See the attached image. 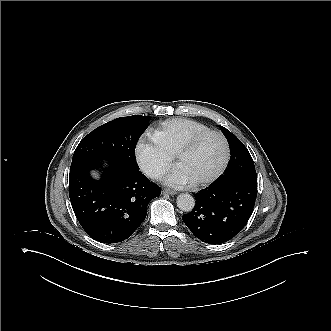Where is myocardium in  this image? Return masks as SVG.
I'll return each mask as SVG.
<instances>
[{
  "label": "myocardium",
  "mask_w": 331,
  "mask_h": 331,
  "mask_svg": "<svg viewBox=\"0 0 331 331\" xmlns=\"http://www.w3.org/2000/svg\"><path fill=\"white\" fill-rule=\"evenodd\" d=\"M217 136L221 142H222V146H223V159L222 162L220 164V166L218 167V169L209 177L207 178H203V179H198V180H194L193 184L195 186H203V185H207L210 184L212 182H214L216 179H218L222 173L224 172V170L227 167L228 161H229V146L227 143L226 138L224 137V135L217 131V130H208L205 132H202L196 136H194L193 138H191L190 140H188L178 151L177 153V157H176V166H180L181 160L184 157V155L189 152L191 149H193L201 140L205 139L208 136Z\"/></svg>",
  "instance_id": "1"
}]
</instances>
